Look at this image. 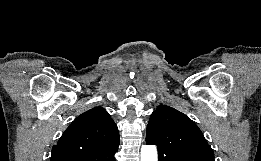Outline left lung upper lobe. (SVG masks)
Segmentation results:
<instances>
[{"label": "left lung upper lobe", "mask_w": 261, "mask_h": 161, "mask_svg": "<svg viewBox=\"0 0 261 161\" xmlns=\"http://www.w3.org/2000/svg\"><path fill=\"white\" fill-rule=\"evenodd\" d=\"M146 141L158 146L180 147L214 158L211 146L196 124L185 114L167 105L158 106L151 114Z\"/></svg>", "instance_id": "left-lung-upper-lobe-1"}]
</instances>
